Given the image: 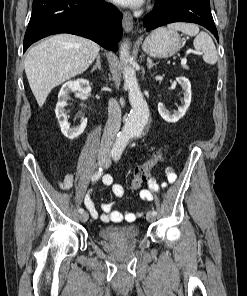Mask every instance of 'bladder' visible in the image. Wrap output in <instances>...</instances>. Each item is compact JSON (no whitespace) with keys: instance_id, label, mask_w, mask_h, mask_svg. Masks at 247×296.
I'll list each match as a JSON object with an SVG mask.
<instances>
[{"instance_id":"1","label":"bladder","mask_w":247,"mask_h":296,"mask_svg":"<svg viewBox=\"0 0 247 296\" xmlns=\"http://www.w3.org/2000/svg\"><path fill=\"white\" fill-rule=\"evenodd\" d=\"M140 230L136 224H127L121 226L102 227L98 235L107 242H119L134 240L139 236Z\"/></svg>"}]
</instances>
